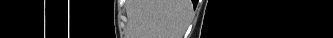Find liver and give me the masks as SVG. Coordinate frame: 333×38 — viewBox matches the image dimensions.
I'll use <instances>...</instances> for the list:
<instances>
[{
    "instance_id": "1",
    "label": "liver",
    "mask_w": 333,
    "mask_h": 38,
    "mask_svg": "<svg viewBox=\"0 0 333 38\" xmlns=\"http://www.w3.org/2000/svg\"><path fill=\"white\" fill-rule=\"evenodd\" d=\"M192 17L190 0H137V38H182Z\"/></svg>"
}]
</instances>
